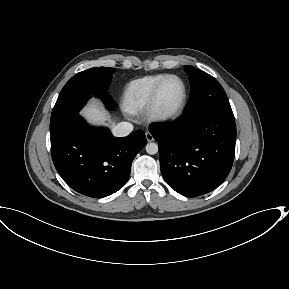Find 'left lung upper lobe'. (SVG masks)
<instances>
[{"label":"left lung upper lobe","instance_id":"5c2ea615","mask_svg":"<svg viewBox=\"0 0 289 289\" xmlns=\"http://www.w3.org/2000/svg\"><path fill=\"white\" fill-rule=\"evenodd\" d=\"M185 71L192 91L184 115L205 109L233 113L224 89L214 77L191 66H186Z\"/></svg>","mask_w":289,"mask_h":289}]
</instances>
